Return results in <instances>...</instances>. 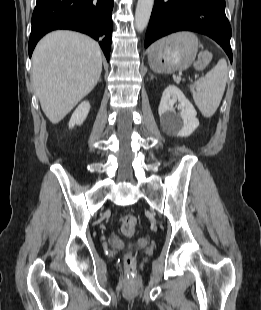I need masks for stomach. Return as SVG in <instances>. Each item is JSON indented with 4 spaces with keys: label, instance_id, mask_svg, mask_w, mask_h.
<instances>
[{
    "label": "stomach",
    "instance_id": "1",
    "mask_svg": "<svg viewBox=\"0 0 261 310\" xmlns=\"http://www.w3.org/2000/svg\"><path fill=\"white\" fill-rule=\"evenodd\" d=\"M197 51L198 39L193 33H175L150 47L148 61L156 73H174L189 68Z\"/></svg>",
    "mask_w": 261,
    "mask_h": 310
}]
</instances>
